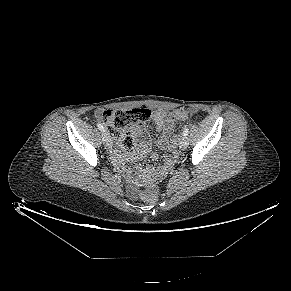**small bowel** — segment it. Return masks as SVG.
I'll return each mask as SVG.
<instances>
[{"mask_svg":"<svg viewBox=\"0 0 291 291\" xmlns=\"http://www.w3.org/2000/svg\"><path fill=\"white\" fill-rule=\"evenodd\" d=\"M152 119L159 133L156 140L157 146L164 150L169 149L173 145L172 134L174 131V122L172 116L166 111L156 110L152 115ZM134 139L139 143V152L133 154H119L118 152H115L114 157L117 161L122 162L126 160L143 159L148 155L151 147L148 135L139 129H135ZM170 164L171 159L167 157L161 166H148L137 174L133 182L135 184L149 182L154 178L163 175Z\"/></svg>","mask_w":291,"mask_h":291,"instance_id":"obj_1","label":"small bowel"}]
</instances>
